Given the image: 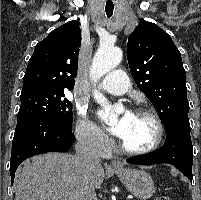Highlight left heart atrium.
Returning <instances> with one entry per match:
<instances>
[{
    "label": "left heart atrium",
    "instance_id": "1",
    "mask_svg": "<svg viewBox=\"0 0 201 200\" xmlns=\"http://www.w3.org/2000/svg\"><path fill=\"white\" fill-rule=\"evenodd\" d=\"M130 114L129 112L125 113L124 116L122 117V119L115 125L113 126L110 131L121 138V136L123 135V132H124V128H125V124H126V121L129 119L130 117ZM102 116V114H101Z\"/></svg>",
    "mask_w": 201,
    "mask_h": 200
}]
</instances>
